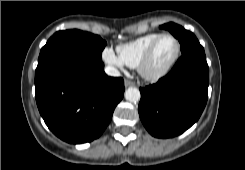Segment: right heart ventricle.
Segmentation results:
<instances>
[{"label":"right heart ventricle","instance_id":"right-heart-ventricle-1","mask_svg":"<svg viewBox=\"0 0 245 170\" xmlns=\"http://www.w3.org/2000/svg\"><path fill=\"white\" fill-rule=\"evenodd\" d=\"M157 33L146 34L132 41L117 46L116 50L120 60L131 68H136L139 61L149 46V44L158 36Z\"/></svg>","mask_w":245,"mask_h":170}]
</instances>
